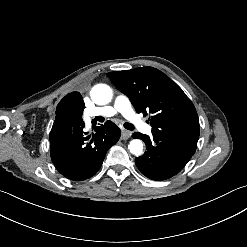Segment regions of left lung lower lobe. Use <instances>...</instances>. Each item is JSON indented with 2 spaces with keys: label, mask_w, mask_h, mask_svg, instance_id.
<instances>
[{
  "label": "left lung lower lobe",
  "mask_w": 247,
  "mask_h": 247,
  "mask_svg": "<svg viewBox=\"0 0 247 247\" xmlns=\"http://www.w3.org/2000/svg\"><path fill=\"white\" fill-rule=\"evenodd\" d=\"M133 138L141 139L146 144V152L135 159L139 171L146 177L161 181L179 173L192 155L175 145L162 142L157 137L135 132Z\"/></svg>",
  "instance_id": "1"
}]
</instances>
